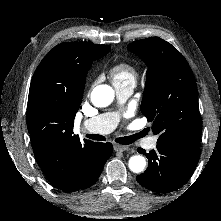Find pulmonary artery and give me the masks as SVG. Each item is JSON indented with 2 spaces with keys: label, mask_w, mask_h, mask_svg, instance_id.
I'll use <instances>...</instances> for the list:
<instances>
[{
  "label": "pulmonary artery",
  "mask_w": 221,
  "mask_h": 221,
  "mask_svg": "<svg viewBox=\"0 0 221 221\" xmlns=\"http://www.w3.org/2000/svg\"><path fill=\"white\" fill-rule=\"evenodd\" d=\"M134 85H116V96L120 103H123L132 94ZM119 122V115L117 113H103L95 117L89 118L84 121L83 125L85 129L92 133L106 134L113 131ZM157 144V137H149L145 145L147 148H155Z\"/></svg>",
  "instance_id": "obj_1"
}]
</instances>
